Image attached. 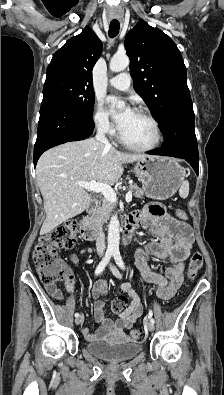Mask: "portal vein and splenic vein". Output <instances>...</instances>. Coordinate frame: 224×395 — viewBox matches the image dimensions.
<instances>
[{"label":"portal vein and splenic vein","instance_id":"obj_1","mask_svg":"<svg viewBox=\"0 0 224 395\" xmlns=\"http://www.w3.org/2000/svg\"><path fill=\"white\" fill-rule=\"evenodd\" d=\"M77 185L85 188L88 191L102 193L104 198L110 202H117V194L108 184L98 183L92 180L90 182H78ZM125 200L126 202H130L132 200V190L127 192Z\"/></svg>","mask_w":224,"mask_h":395}]
</instances>
